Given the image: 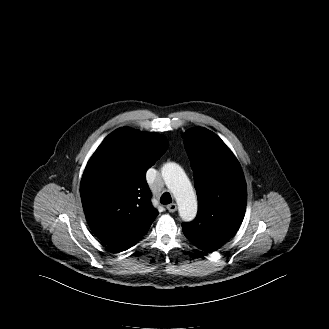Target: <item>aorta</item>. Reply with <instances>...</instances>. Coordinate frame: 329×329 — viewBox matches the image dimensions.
Segmentation results:
<instances>
[{
  "label": "aorta",
  "instance_id": "1",
  "mask_svg": "<svg viewBox=\"0 0 329 329\" xmlns=\"http://www.w3.org/2000/svg\"><path fill=\"white\" fill-rule=\"evenodd\" d=\"M166 186L174 195L183 221H192L197 214V199L184 170L176 163H166L161 170Z\"/></svg>",
  "mask_w": 329,
  "mask_h": 329
}]
</instances>
